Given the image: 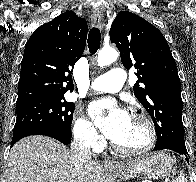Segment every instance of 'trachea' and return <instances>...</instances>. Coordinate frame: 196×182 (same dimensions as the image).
<instances>
[{
	"mask_svg": "<svg viewBox=\"0 0 196 182\" xmlns=\"http://www.w3.org/2000/svg\"><path fill=\"white\" fill-rule=\"evenodd\" d=\"M100 41H101V33L99 28L93 27L88 35V48L89 51L94 54L97 52V50L100 47Z\"/></svg>",
	"mask_w": 196,
	"mask_h": 182,
	"instance_id": "trachea-1",
	"label": "trachea"
}]
</instances>
